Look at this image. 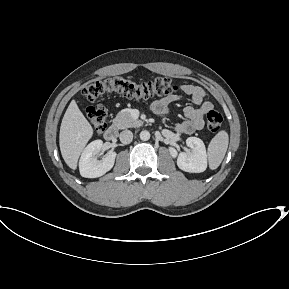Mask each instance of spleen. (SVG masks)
Instances as JSON below:
<instances>
[{
  "label": "spleen",
  "mask_w": 289,
  "mask_h": 289,
  "mask_svg": "<svg viewBox=\"0 0 289 289\" xmlns=\"http://www.w3.org/2000/svg\"><path fill=\"white\" fill-rule=\"evenodd\" d=\"M229 143L228 133L224 130L218 132L208 145L209 168L215 170L219 167L226 154Z\"/></svg>",
  "instance_id": "3e777b00"
}]
</instances>
